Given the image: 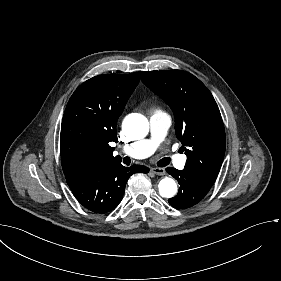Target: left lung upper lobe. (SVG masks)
Masks as SVG:
<instances>
[{"label": "left lung upper lobe", "instance_id": "1", "mask_svg": "<svg viewBox=\"0 0 281 281\" xmlns=\"http://www.w3.org/2000/svg\"><path fill=\"white\" fill-rule=\"evenodd\" d=\"M142 82L175 115L176 136L187 155L185 168L213 185L225 154V130L219 108L207 87L182 70L141 72Z\"/></svg>", "mask_w": 281, "mask_h": 281}]
</instances>
